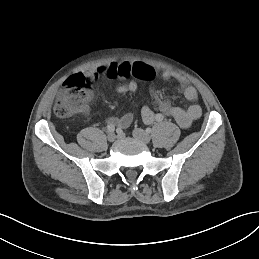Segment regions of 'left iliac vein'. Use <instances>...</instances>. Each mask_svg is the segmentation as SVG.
<instances>
[{
    "label": "left iliac vein",
    "mask_w": 259,
    "mask_h": 259,
    "mask_svg": "<svg viewBox=\"0 0 259 259\" xmlns=\"http://www.w3.org/2000/svg\"><path fill=\"white\" fill-rule=\"evenodd\" d=\"M133 137L144 144H148L151 140L150 135L140 128L133 130Z\"/></svg>",
    "instance_id": "obj_1"
}]
</instances>
